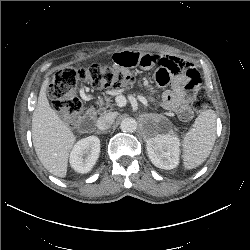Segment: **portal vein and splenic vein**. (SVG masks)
Returning <instances> with one entry per match:
<instances>
[{
	"label": "portal vein and splenic vein",
	"mask_w": 250,
	"mask_h": 250,
	"mask_svg": "<svg viewBox=\"0 0 250 250\" xmlns=\"http://www.w3.org/2000/svg\"><path fill=\"white\" fill-rule=\"evenodd\" d=\"M127 103V100L124 96H118L116 98V104L118 107H124Z\"/></svg>",
	"instance_id": "obj_1"
}]
</instances>
